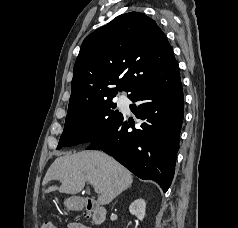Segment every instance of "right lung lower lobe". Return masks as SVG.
Returning a JSON list of instances; mask_svg holds the SVG:
<instances>
[{
  "mask_svg": "<svg viewBox=\"0 0 238 228\" xmlns=\"http://www.w3.org/2000/svg\"><path fill=\"white\" fill-rule=\"evenodd\" d=\"M136 118L144 120L134 129L123 117L104 134L90 141L87 149L103 150L141 179L157 182L166 192L172 182L183 120L180 76L131 98ZM133 128L130 130V128Z\"/></svg>",
  "mask_w": 238,
  "mask_h": 228,
  "instance_id": "obj_1",
  "label": "right lung lower lobe"
}]
</instances>
